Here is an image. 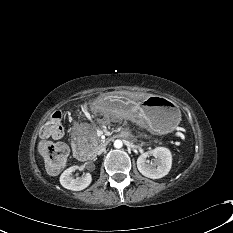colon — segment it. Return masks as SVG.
<instances>
[{"label":"colon","mask_w":233,"mask_h":233,"mask_svg":"<svg viewBox=\"0 0 233 233\" xmlns=\"http://www.w3.org/2000/svg\"><path fill=\"white\" fill-rule=\"evenodd\" d=\"M63 113L55 111L42 127L43 137H53L62 132ZM40 153L44 159L46 168L50 172H59L66 164L68 158V147L63 142L45 140L40 144Z\"/></svg>","instance_id":"5ec220e1"}]
</instances>
